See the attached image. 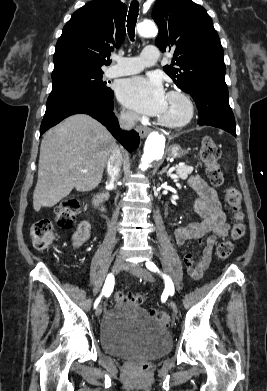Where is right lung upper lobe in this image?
I'll return each instance as SVG.
<instances>
[{
  "instance_id": "1",
  "label": "right lung upper lobe",
  "mask_w": 267,
  "mask_h": 391,
  "mask_svg": "<svg viewBox=\"0 0 267 391\" xmlns=\"http://www.w3.org/2000/svg\"><path fill=\"white\" fill-rule=\"evenodd\" d=\"M126 12L119 0H93L75 11L57 41L52 76L109 65L111 52L125 38Z\"/></svg>"
}]
</instances>
